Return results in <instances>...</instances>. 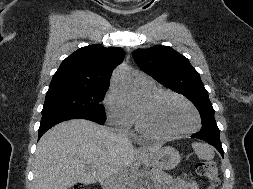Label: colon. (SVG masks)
Segmentation results:
<instances>
[{
    "instance_id": "1",
    "label": "colon",
    "mask_w": 253,
    "mask_h": 189,
    "mask_svg": "<svg viewBox=\"0 0 253 189\" xmlns=\"http://www.w3.org/2000/svg\"><path fill=\"white\" fill-rule=\"evenodd\" d=\"M197 174L208 184V189H216L219 184V173L216 165L209 161H198L195 164ZM72 189H85L83 185H75Z\"/></svg>"
}]
</instances>
